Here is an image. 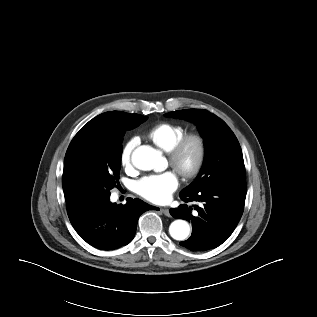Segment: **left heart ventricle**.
Segmentation results:
<instances>
[{"mask_svg": "<svg viewBox=\"0 0 317 317\" xmlns=\"http://www.w3.org/2000/svg\"><path fill=\"white\" fill-rule=\"evenodd\" d=\"M193 157H194V148L190 147L186 152L185 160L187 162H190L193 159Z\"/></svg>", "mask_w": 317, "mask_h": 317, "instance_id": "obj_1", "label": "left heart ventricle"}]
</instances>
